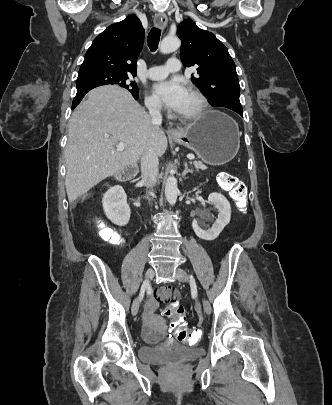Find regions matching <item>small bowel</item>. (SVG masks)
<instances>
[{"mask_svg":"<svg viewBox=\"0 0 332 405\" xmlns=\"http://www.w3.org/2000/svg\"><path fill=\"white\" fill-rule=\"evenodd\" d=\"M177 289L176 288H157L154 291L153 297L148 301L145 312H144V321L146 327L148 329V334L145 337V342L147 344H168L169 343V336L168 335H160L155 333L154 330V322L155 316L154 312L159 308V302L161 301L162 306H167L168 299H178L177 296ZM164 318V317H163ZM164 321L165 318H164Z\"/></svg>","mask_w":332,"mask_h":405,"instance_id":"1","label":"small bowel"}]
</instances>
